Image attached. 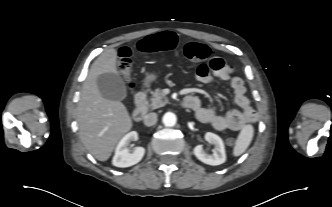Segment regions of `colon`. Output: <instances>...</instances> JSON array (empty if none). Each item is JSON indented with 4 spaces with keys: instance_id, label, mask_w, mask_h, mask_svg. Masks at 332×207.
Masks as SVG:
<instances>
[{
    "instance_id": "colon-1",
    "label": "colon",
    "mask_w": 332,
    "mask_h": 207,
    "mask_svg": "<svg viewBox=\"0 0 332 207\" xmlns=\"http://www.w3.org/2000/svg\"><path fill=\"white\" fill-rule=\"evenodd\" d=\"M178 43L177 37L173 33H162L156 36H150L143 39L138 44L140 51H168L174 48ZM185 55L192 61H204L206 59L219 58L216 53L210 50L206 45L189 42L184 48ZM130 49L128 47H122L118 52V69L124 75L126 79H130L131 74V60ZM131 86V84H130ZM231 138L227 139L228 144H232Z\"/></svg>"
}]
</instances>
